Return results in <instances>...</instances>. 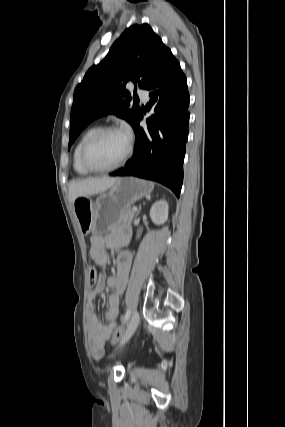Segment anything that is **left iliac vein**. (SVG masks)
<instances>
[{
	"mask_svg": "<svg viewBox=\"0 0 285 427\" xmlns=\"http://www.w3.org/2000/svg\"><path fill=\"white\" fill-rule=\"evenodd\" d=\"M139 320H140L139 313L137 310H135L131 316V319H130L128 325H127L125 335H124L123 340L121 342L122 344L126 343L131 338V336L134 334V332L136 331V329L138 327Z\"/></svg>",
	"mask_w": 285,
	"mask_h": 427,
	"instance_id": "obj_1",
	"label": "left iliac vein"
}]
</instances>
